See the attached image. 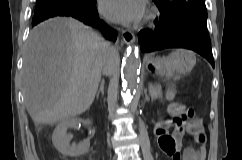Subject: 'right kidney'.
<instances>
[{
	"label": "right kidney",
	"mask_w": 242,
	"mask_h": 160,
	"mask_svg": "<svg viewBox=\"0 0 242 160\" xmlns=\"http://www.w3.org/2000/svg\"><path fill=\"white\" fill-rule=\"evenodd\" d=\"M80 123L89 126L90 120H82L80 118H70L61 121L53 132L52 142L55 148L64 156L78 157L85 154L90 147L88 139L83 140L78 145H70L72 135L67 134L68 128H75Z\"/></svg>",
	"instance_id": "1"
}]
</instances>
